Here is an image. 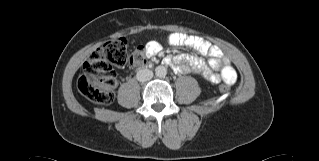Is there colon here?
<instances>
[{
	"instance_id": "1",
	"label": "colon",
	"mask_w": 319,
	"mask_h": 161,
	"mask_svg": "<svg viewBox=\"0 0 319 161\" xmlns=\"http://www.w3.org/2000/svg\"><path fill=\"white\" fill-rule=\"evenodd\" d=\"M160 46L157 45L153 52L157 53ZM145 54L141 50L131 54L127 52V42L124 37H115L105 42L101 48L93 52L85 62L82 73L77 80L79 92L99 104H109L113 101L116 85V73L113 66L124 67L132 63H142ZM220 92L228 93L227 84H221Z\"/></svg>"
}]
</instances>
